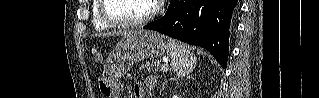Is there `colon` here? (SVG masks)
<instances>
[{
	"label": "colon",
	"instance_id": "5ec220e1",
	"mask_svg": "<svg viewBox=\"0 0 319 98\" xmlns=\"http://www.w3.org/2000/svg\"><path fill=\"white\" fill-rule=\"evenodd\" d=\"M90 56L97 63H100L102 61L101 52L97 48H92L90 50Z\"/></svg>",
	"mask_w": 319,
	"mask_h": 98
}]
</instances>
